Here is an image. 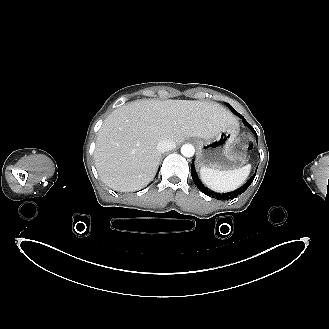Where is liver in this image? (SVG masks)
<instances>
[{
  "mask_svg": "<svg viewBox=\"0 0 329 329\" xmlns=\"http://www.w3.org/2000/svg\"><path fill=\"white\" fill-rule=\"evenodd\" d=\"M236 123L231 112L211 101H134L104 120L94 152L96 169L110 188L136 191L157 172L159 141L171 139L179 144L185 137L211 139Z\"/></svg>",
  "mask_w": 329,
  "mask_h": 329,
  "instance_id": "obj_1",
  "label": "liver"
}]
</instances>
